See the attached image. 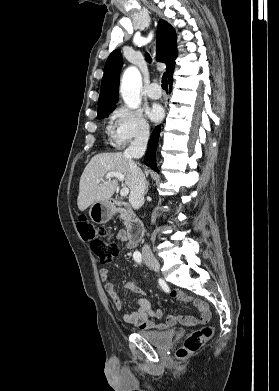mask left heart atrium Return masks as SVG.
Wrapping results in <instances>:
<instances>
[{
  "instance_id": "left-heart-atrium-1",
  "label": "left heart atrium",
  "mask_w": 279,
  "mask_h": 391,
  "mask_svg": "<svg viewBox=\"0 0 279 391\" xmlns=\"http://www.w3.org/2000/svg\"><path fill=\"white\" fill-rule=\"evenodd\" d=\"M149 118L152 121H159L163 116V109L159 104H153L147 111Z\"/></svg>"
}]
</instances>
